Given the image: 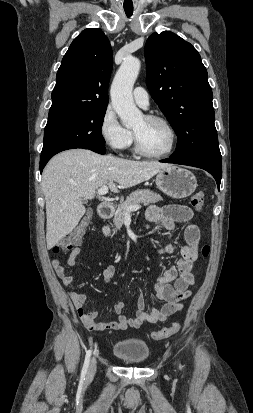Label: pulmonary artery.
<instances>
[{
  "mask_svg": "<svg viewBox=\"0 0 253 413\" xmlns=\"http://www.w3.org/2000/svg\"><path fill=\"white\" fill-rule=\"evenodd\" d=\"M133 98L137 105L146 109L149 106V95L143 87H136L133 91Z\"/></svg>",
  "mask_w": 253,
  "mask_h": 413,
  "instance_id": "e3ab8cb5",
  "label": "pulmonary artery"
}]
</instances>
